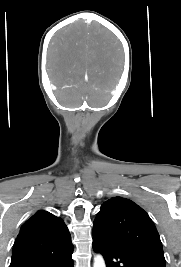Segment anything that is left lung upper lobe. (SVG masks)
<instances>
[{
    "label": "left lung upper lobe",
    "mask_w": 181,
    "mask_h": 267,
    "mask_svg": "<svg viewBox=\"0 0 181 267\" xmlns=\"http://www.w3.org/2000/svg\"><path fill=\"white\" fill-rule=\"evenodd\" d=\"M93 236L113 240L165 267L162 243L153 221L129 199L114 197L102 204L94 221Z\"/></svg>",
    "instance_id": "5c2ea615"
}]
</instances>
